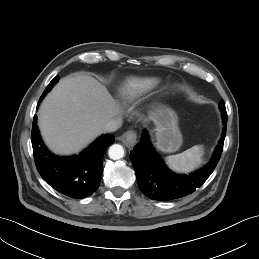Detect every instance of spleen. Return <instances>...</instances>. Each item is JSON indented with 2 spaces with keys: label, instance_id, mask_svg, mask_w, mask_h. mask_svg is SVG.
I'll list each match as a JSON object with an SVG mask.
<instances>
[{
  "label": "spleen",
  "instance_id": "spleen-1",
  "mask_svg": "<svg viewBox=\"0 0 259 259\" xmlns=\"http://www.w3.org/2000/svg\"><path fill=\"white\" fill-rule=\"evenodd\" d=\"M203 146L195 145L186 151L166 157L170 168L178 172H190L202 163Z\"/></svg>",
  "mask_w": 259,
  "mask_h": 259
}]
</instances>
